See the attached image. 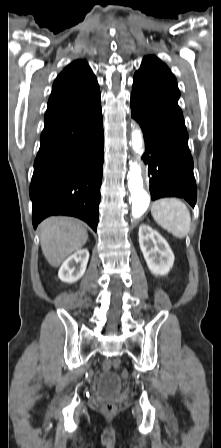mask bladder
Wrapping results in <instances>:
<instances>
[{
  "label": "bladder",
  "instance_id": "1",
  "mask_svg": "<svg viewBox=\"0 0 221 448\" xmlns=\"http://www.w3.org/2000/svg\"><path fill=\"white\" fill-rule=\"evenodd\" d=\"M121 387L122 382L118 376L113 373H105L100 377L96 391L105 397L114 398Z\"/></svg>",
  "mask_w": 221,
  "mask_h": 448
}]
</instances>
